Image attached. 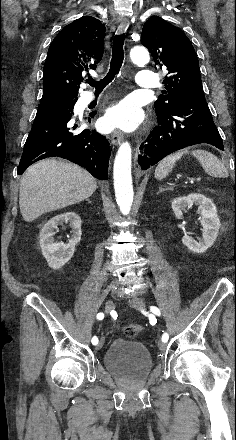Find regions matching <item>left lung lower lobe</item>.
<instances>
[{
	"label": "left lung lower lobe",
	"instance_id": "left-lung-lower-lobe-1",
	"mask_svg": "<svg viewBox=\"0 0 236 440\" xmlns=\"http://www.w3.org/2000/svg\"><path fill=\"white\" fill-rule=\"evenodd\" d=\"M158 126L140 146L138 161L142 169L187 146L207 143L224 150L204 94L179 100L170 113L157 116Z\"/></svg>",
	"mask_w": 236,
	"mask_h": 440
}]
</instances>
